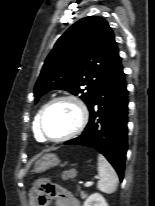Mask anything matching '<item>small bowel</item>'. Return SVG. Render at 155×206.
Listing matches in <instances>:
<instances>
[{
  "label": "small bowel",
  "mask_w": 155,
  "mask_h": 206,
  "mask_svg": "<svg viewBox=\"0 0 155 206\" xmlns=\"http://www.w3.org/2000/svg\"><path fill=\"white\" fill-rule=\"evenodd\" d=\"M52 193V198L56 206H80L78 199L69 190L63 187L54 185ZM45 206H47V203Z\"/></svg>",
  "instance_id": "1"
}]
</instances>
